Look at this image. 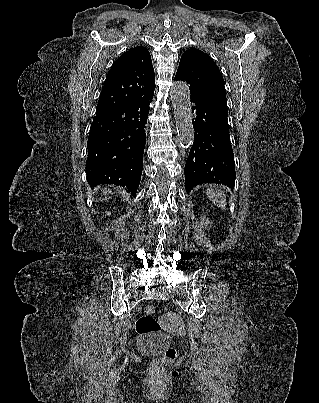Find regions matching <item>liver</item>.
<instances>
[{"label": "liver", "instance_id": "1", "mask_svg": "<svg viewBox=\"0 0 319 403\" xmlns=\"http://www.w3.org/2000/svg\"><path fill=\"white\" fill-rule=\"evenodd\" d=\"M109 192V190H107L106 188L104 189V194H107Z\"/></svg>", "mask_w": 319, "mask_h": 403}]
</instances>
